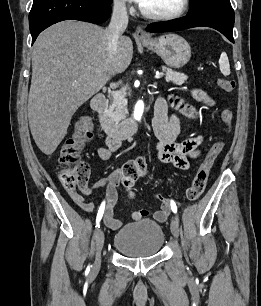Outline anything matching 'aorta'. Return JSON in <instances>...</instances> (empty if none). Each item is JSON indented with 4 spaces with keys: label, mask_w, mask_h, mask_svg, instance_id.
I'll list each match as a JSON object with an SVG mask.
<instances>
[{
    "label": "aorta",
    "mask_w": 261,
    "mask_h": 306,
    "mask_svg": "<svg viewBox=\"0 0 261 306\" xmlns=\"http://www.w3.org/2000/svg\"><path fill=\"white\" fill-rule=\"evenodd\" d=\"M143 111H144V104L142 101H138L134 108V113H133L134 119L139 121L143 115Z\"/></svg>",
    "instance_id": "762f6f07"
}]
</instances>
